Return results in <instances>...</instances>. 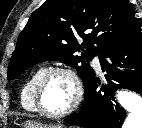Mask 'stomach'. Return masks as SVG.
<instances>
[{
  "label": "stomach",
  "instance_id": "stomach-1",
  "mask_svg": "<svg viewBox=\"0 0 142 128\" xmlns=\"http://www.w3.org/2000/svg\"><path fill=\"white\" fill-rule=\"evenodd\" d=\"M24 128H65L63 125L61 124H42V123H38L36 121H27L24 125Z\"/></svg>",
  "mask_w": 142,
  "mask_h": 128
}]
</instances>
